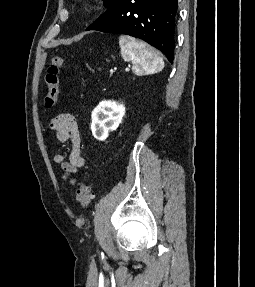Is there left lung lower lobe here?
I'll list each match as a JSON object with an SVG mask.
<instances>
[{
  "label": "left lung lower lobe",
  "instance_id": "1",
  "mask_svg": "<svg viewBox=\"0 0 255 287\" xmlns=\"http://www.w3.org/2000/svg\"><path fill=\"white\" fill-rule=\"evenodd\" d=\"M178 0H115L86 30L130 35L146 41L173 62Z\"/></svg>",
  "mask_w": 255,
  "mask_h": 287
}]
</instances>
